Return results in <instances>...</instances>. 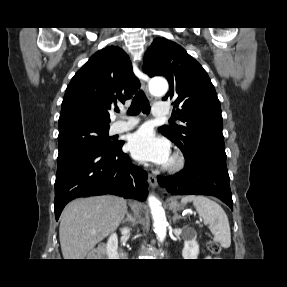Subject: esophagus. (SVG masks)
Instances as JSON below:
<instances>
[{"label": "esophagus", "mask_w": 287, "mask_h": 287, "mask_svg": "<svg viewBox=\"0 0 287 287\" xmlns=\"http://www.w3.org/2000/svg\"><path fill=\"white\" fill-rule=\"evenodd\" d=\"M138 77L141 81V87H142V90L145 92V94L147 95L148 99L152 102L153 101V96L149 93L148 91V88H147V85L144 81V74L139 71L138 72ZM148 182L150 184V186L152 188H155L157 185H158V182H157V176L155 174H152V173H148Z\"/></svg>", "instance_id": "obj_1"}]
</instances>
